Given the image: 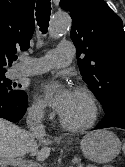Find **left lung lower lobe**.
Returning a JSON list of instances; mask_svg holds the SVG:
<instances>
[{
    "instance_id": "1",
    "label": "left lung lower lobe",
    "mask_w": 125,
    "mask_h": 167,
    "mask_svg": "<svg viewBox=\"0 0 125 167\" xmlns=\"http://www.w3.org/2000/svg\"><path fill=\"white\" fill-rule=\"evenodd\" d=\"M106 115L95 127L102 129L108 127H118L125 129V103L114 104L105 111Z\"/></svg>"
}]
</instances>
